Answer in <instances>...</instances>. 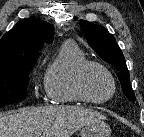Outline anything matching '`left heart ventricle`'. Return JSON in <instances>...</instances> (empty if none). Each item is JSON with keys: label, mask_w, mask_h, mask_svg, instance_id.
I'll return each mask as SVG.
<instances>
[{"label": "left heart ventricle", "mask_w": 144, "mask_h": 137, "mask_svg": "<svg viewBox=\"0 0 144 137\" xmlns=\"http://www.w3.org/2000/svg\"><path fill=\"white\" fill-rule=\"evenodd\" d=\"M84 87L89 96L95 99L107 97L112 90L108 76L98 68H90L84 77Z\"/></svg>", "instance_id": "left-heart-ventricle-1"}]
</instances>
